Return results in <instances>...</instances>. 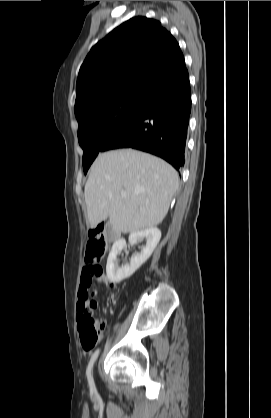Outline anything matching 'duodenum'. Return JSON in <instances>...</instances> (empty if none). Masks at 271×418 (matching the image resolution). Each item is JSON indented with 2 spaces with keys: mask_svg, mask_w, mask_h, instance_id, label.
Listing matches in <instances>:
<instances>
[{
  "mask_svg": "<svg viewBox=\"0 0 271 418\" xmlns=\"http://www.w3.org/2000/svg\"><path fill=\"white\" fill-rule=\"evenodd\" d=\"M110 238H111V240H116V239H117V235H116V234H114V235H112Z\"/></svg>",
  "mask_w": 271,
  "mask_h": 418,
  "instance_id": "410a0bca",
  "label": "duodenum"
}]
</instances>
